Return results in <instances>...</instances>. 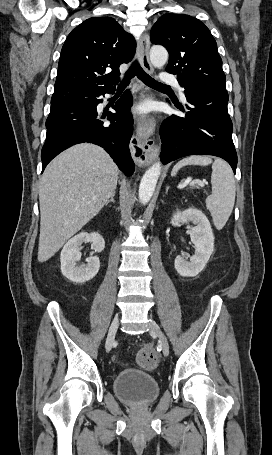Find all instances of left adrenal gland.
<instances>
[{
	"mask_svg": "<svg viewBox=\"0 0 272 455\" xmlns=\"http://www.w3.org/2000/svg\"><path fill=\"white\" fill-rule=\"evenodd\" d=\"M168 190H169V186L166 187V194H167Z\"/></svg>",
	"mask_w": 272,
	"mask_h": 455,
	"instance_id": "obj_1",
	"label": "left adrenal gland"
}]
</instances>
